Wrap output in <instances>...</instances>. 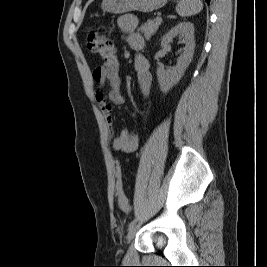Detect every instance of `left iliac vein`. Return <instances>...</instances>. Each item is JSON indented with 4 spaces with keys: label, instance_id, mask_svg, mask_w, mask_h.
<instances>
[{
    "label": "left iliac vein",
    "instance_id": "obj_1",
    "mask_svg": "<svg viewBox=\"0 0 267 267\" xmlns=\"http://www.w3.org/2000/svg\"><path fill=\"white\" fill-rule=\"evenodd\" d=\"M137 230H138V226L136 225L132 226L129 229L127 237H126L128 242H130L135 237Z\"/></svg>",
    "mask_w": 267,
    "mask_h": 267
}]
</instances>
